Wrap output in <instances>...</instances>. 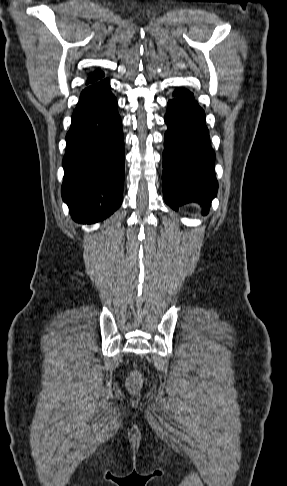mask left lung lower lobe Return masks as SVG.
<instances>
[{"mask_svg":"<svg viewBox=\"0 0 287 486\" xmlns=\"http://www.w3.org/2000/svg\"><path fill=\"white\" fill-rule=\"evenodd\" d=\"M169 100L163 152V193L173 209L194 201L207 211L217 194L215 153L209 143L204 110L193 93L179 88Z\"/></svg>","mask_w":287,"mask_h":486,"instance_id":"0a47b994","label":"left lung lower lobe"}]
</instances>
